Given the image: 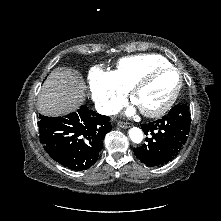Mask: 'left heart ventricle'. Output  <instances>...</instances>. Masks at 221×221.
<instances>
[{
    "label": "left heart ventricle",
    "mask_w": 221,
    "mask_h": 221,
    "mask_svg": "<svg viewBox=\"0 0 221 221\" xmlns=\"http://www.w3.org/2000/svg\"><path fill=\"white\" fill-rule=\"evenodd\" d=\"M178 83L173 71L158 74L136 98V105L145 110H154L162 106L172 95Z\"/></svg>",
    "instance_id": "obj_1"
}]
</instances>
